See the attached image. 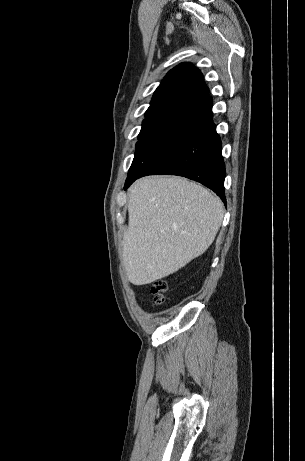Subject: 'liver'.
Returning <instances> with one entry per match:
<instances>
[{
    "mask_svg": "<svg viewBox=\"0 0 305 461\" xmlns=\"http://www.w3.org/2000/svg\"><path fill=\"white\" fill-rule=\"evenodd\" d=\"M123 263L134 285L167 277L202 255L223 219L219 198L179 177L149 176L130 189Z\"/></svg>",
    "mask_w": 305,
    "mask_h": 461,
    "instance_id": "obj_1",
    "label": "liver"
}]
</instances>
